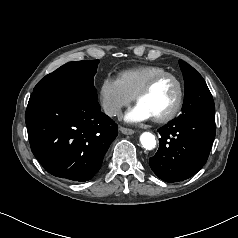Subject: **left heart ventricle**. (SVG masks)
I'll list each match as a JSON object with an SVG mask.
<instances>
[{
  "label": "left heart ventricle",
  "mask_w": 238,
  "mask_h": 238,
  "mask_svg": "<svg viewBox=\"0 0 238 238\" xmlns=\"http://www.w3.org/2000/svg\"><path fill=\"white\" fill-rule=\"evenodd\" d=\"M177 94L176 83L171 78H164L139 100L138 105L145 109L152 118L162 116L173 108Z\"/></svg>",
  "instance_id": "left-heart-ventricle-1"
}]
</instances>
